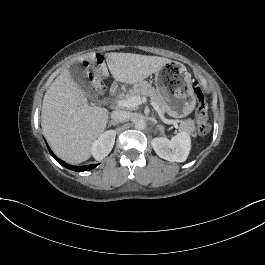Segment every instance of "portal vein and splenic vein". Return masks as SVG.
Wrapping results in <instances>:
<instances>
[{"label":"portal vein and splenic vein","mask_w":265,"mask_h":265,"mask_svg":"<svg viewBox=\"0 0 265 265\" xmlns=\"http://www.w3.org/2000/svg\"><path fill=\"white\" fill-rule=\"evenodd\" d=\"M147 101H149V103L151 104V106L160 113V109L158 107V105L153 101V100H148L146 97H142L140 99V97H131L129 99H121V100H115L112 101V104L121 108H135L137 107L139 104L141 103H146ZM166 124H176L173 120H169V119H164L163 120Z\"/></svg>","instance_id":"obj_1"}]
</instances>
